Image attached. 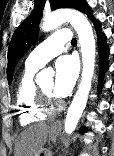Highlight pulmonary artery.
Masks as SVG:
<instances>
[{
	"label": "pulmonary artery",
	"mask_w": 114,
	"mask_h": 156,
	"mask_svg": "<svg viewBox=\"0 0 114 156\" xmlns=\"http://www.w3.org/2000/svg\"><path fill=\"white\" fill-rule=\"evenodd\" d=\"M71 36L68 29L55 32L29 54L26 63L31 66L42 67L65 50L64 45L71 39Z\"/></svg>",
	"instance_id": "e3ab8cb5"
}]
</instances>
